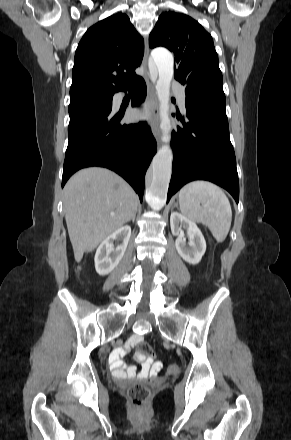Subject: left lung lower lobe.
Wrapping results in <instances>:
<instances>
[{"mask_svg": "<svg viewBox=\"0 0 291 440\" xmlns=\"http://www.w3.org/2000/svg\"><path fill=\"white\" fill-rule=\"evenodd\" d=\"M186 121L172 133L173 168L167 202L183 185L208 180L239 201L236 159L229 138L226 102L186 93Z\"/></svg>", "mask_w": 291, "mask_h": 440, "instance_id": "1", "label": "left lung lower lobe"}]
</instances>
